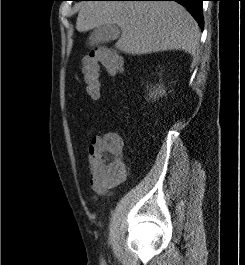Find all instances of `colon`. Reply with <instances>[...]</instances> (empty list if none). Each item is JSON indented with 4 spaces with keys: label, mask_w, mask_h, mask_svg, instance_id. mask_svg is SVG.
Instances as JSON below:
<instances>
[{
    "label": "colon",
    "mask_w": 245,
    "mask_h": 265,
    "mask_svg": "<svg viewBox=\"0 0 245 265\" xmlns=\"http://www.w3.org/2000/svg\"><path fill=\"white\" fill-rule=\"evenodd\" d=\"M103 66L112 76L123 70L122 58L113 50L99 47L92 50L83 60L82 72L86 91L92 99H98L101 90L100 67ZM123 140L115 133L109 134L93 156V166L107 179L116 180L124 175L121 159Z\"/></svg>",
    "instance_id": "obj_1"
}]
</instances>
